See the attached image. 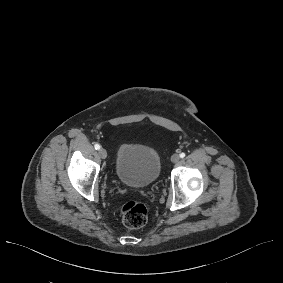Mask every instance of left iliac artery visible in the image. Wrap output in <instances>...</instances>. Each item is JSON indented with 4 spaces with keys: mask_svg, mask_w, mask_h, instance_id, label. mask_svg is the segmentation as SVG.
<instances>
[{
    "mask_svg": "<svg viewBox=\"0 0 283 283\" xmlns=\"http://www.w3.org/2000/svg\"><path fill=\"white\" fill-rule=\"evenodd\" d=\"M186 156V154L184 153V152H182L181 154H180V158H184Z\"/></svg>",
    "mask_w": 283,
    "mask_h": 283,
    "instance_id": "44dca946",
    "label": "left iliac artery"
}]
</instances>
